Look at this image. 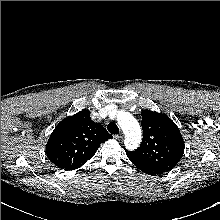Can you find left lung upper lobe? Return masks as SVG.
I'll use <instances>...</instances> for the list:
<instances>
[{
	"instance_id": "1",
	"label": "left lung upper lobe",
	"mask_w": 220,
	"mask_h": 220,
	"mask_svg": "<svg viewBox=\"0 0 220 220\" xmlns=\"http://www.w3.org/2000/svg\"><path fill=\"white\" fill-rule=\"evenodd\" d=\"M143 141L135 151L126 150L131 162L162 174L171 171L184 153L185 144L176 124L165 114L143 110Z\"/></svg>"
}]
</instances>
